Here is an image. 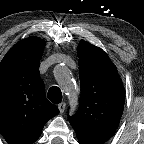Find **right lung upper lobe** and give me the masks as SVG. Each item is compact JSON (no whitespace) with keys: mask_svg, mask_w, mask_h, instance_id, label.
Returning a JSON list of instances; mask_svg holds the SVG:
<instances>
[{"mask_svg":"<svg viewBox=\"0 0 144 144\" xmlns=\"http://www.w3.org/2000/svg\"><path fill=\"white\" fill-rule=\"evenodd\" d=\"M46 43L35 36L15 44L0 63V133L9 144H32L59 113L45 97L39 61Z\"/></svg>","mask_w":144,"mask_h":144,"instance_id":"right-lung-upper-lobe-1","label":"right lung upper lobe"}]
</instances>
